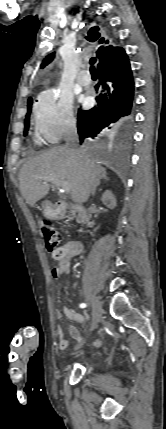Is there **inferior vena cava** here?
<instances>
[{
  "instance_id": "1",
  "label": "inferior vena cava",
  "mask_w": 166,
  "mask_h": 429,
  "mask_svg": "<svg viewBox=\"0 0 166 429\" xmlns=\"http://www.w3.org/2000/svg\"><path fill=\"white\" fill-rule=\"evenodd\" d=\"M77 142H78V134L75 126H72L66 136V146L76 149L78 153H82L83 150L77 149Z\"/></svg>"
}]
</instances>
